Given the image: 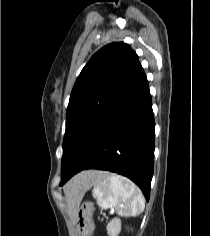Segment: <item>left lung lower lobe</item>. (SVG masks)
Returning a JSON list of instances; mask_svg holds the SVG:
<instances>
[{
	"instance_id": "obj_1",
	"label": "left lung lower lobe",
	"mask_w": 210,
	"mask_h": 236,
	"mask_svg": "<svg viewBox=\"0 0 210 236\" xmlns=\"http://www.w3.org/2000/svg\"><path fill=\"white\" fill-rule=\"evenodd\" d=\"M154 127L151 95L143 72L85 129L61 168L60 185L84 169L108 170L130 178L148 201Z\"/></svg>"
}]
</instances>
